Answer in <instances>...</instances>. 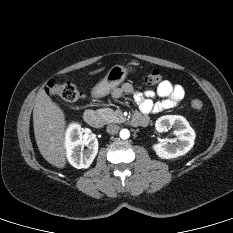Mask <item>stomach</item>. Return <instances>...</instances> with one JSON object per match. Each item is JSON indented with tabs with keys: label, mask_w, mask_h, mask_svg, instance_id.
I'll use <instances>...</instances> for the list:
<instances>
[{
	"label": "stomach",
	"mask_w": 233,
	"mask_h": 233,
	"mask_svg": "<svg viewBox=\"0 0 233 233\" xmlns=\"http://www.w3.org/2000/svg\"><path fill=\"white\" fill-rule=\"evenodd\" d=\"M135 71L134 68L124 67L121 65H114L111 67L104 77V79L98 83L92 94L94 97H103L108 95L114 88L119 86L127 77L129 72Z\"/></svg>",
	"instance_id": "stomach-1"
}]
</instances>
